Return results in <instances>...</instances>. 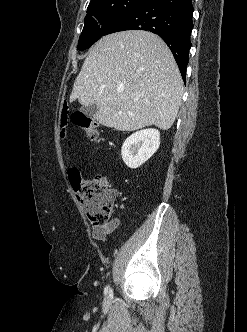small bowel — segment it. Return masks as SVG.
<instances>
[{"label":"small bowel","mask_w":247,"mask_h":332,"mask_svg":"<svg viewBox=\"0 0 247 332\" xmlns=\"http://www.w3.org/2000/svg\"><path fill=\"white\" fill-rule=\"evenodd\" d=\"M116 194V191H114ZM118 226V220L114 219L104 225H95L92 229L93 237L97 240H104L106 236L112 233Z\"/></svg>","instance_id":"1"}]
</instances>
